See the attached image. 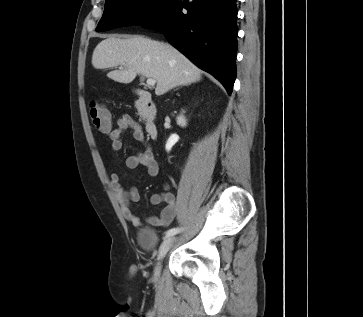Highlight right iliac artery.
Returning a JSON list of instances; mask_svg holds the SVG:
<instances>
[{"label":"right iliac artery","instance_id":"1","mask_svg":"<svg viewBox=\"0 0 363 317\" xmlns=\"http://www.w3.org/2000/svg\"><path fill=\"white\" fill-rule=\"evenodd\" d=\"M180 232V228H171L166 232V237L175 235Z\"/></svg>","mask_w":363,"mask_h":317}]
</instances>
